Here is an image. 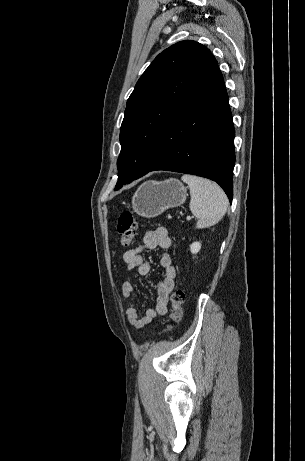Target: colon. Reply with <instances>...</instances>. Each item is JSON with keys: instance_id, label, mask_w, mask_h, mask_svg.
Wrapping results in <instances>:
<instances>
[{"instance_id": "1", "label": "colon", "mask_w": 305, "mask_h": 461, "mask_svg": "<svg viewBox=\"0 0 305 461\" xmlns=\"http://www.w3.org/2000/svg\"><path fill=\"white\" fill-rule=\"evenodd\" d=\"M137 228L138 220L132 212L124 211L119 215L117 232L122 246L128 247L132 244ZM184 300L185 294L182 289H176L171 294L173 310L170 318L172 323H179L182 320ZM170 328L171 325H168L166 330H169Z\"/></svg>"}]
</instances>
